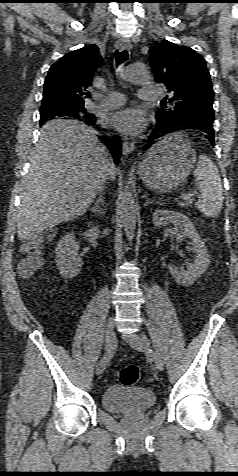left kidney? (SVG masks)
Instances as JSON below:
<instances>
[{"label":"left kidney","mask_w":238,"mask_h":476,"mask_svg":"<svg viewBox=\"0 0 238 476\" xmlns=\"http://www.w3.org/2000/svg\"><path fill=\"white\" fill-rule=\"evenodd\" d=\"M169 223L179 227V233L177 235L178 241L183 240L186 237L192 240L193 249L196 254L194 262L188 263L186 270H179L172 264H169L168 266L172 277L179 284L188 286L206 271L209 265L210 256L203 240L200 238L189 217L176 211L156 209L153 214L154 226L160 228Z\"/></svg>","instance_id":"5707ae66"}]
</instances>
